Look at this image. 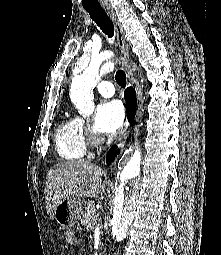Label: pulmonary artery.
<instances>
[{"instance_id":"obj_1","label":"pulmonary artery","mask_w":221,"mask_h":255,"mask_svg":"<svg viewBox=\"0 0 221 255\" xmlns=\"http://www.w3.org/2000/svg\"><path fill=\"white\" fill-rule=\"evenodd\" d=\"M97 90L104 97H112L115 93L114 86L109 81H101L98 83Z\"/></svg>"}]
</instances>
